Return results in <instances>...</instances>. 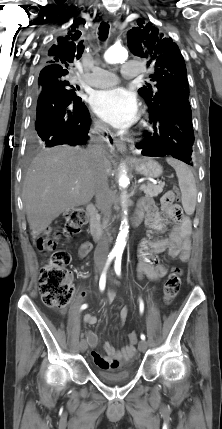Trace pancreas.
<instances>
[{
  "mask_svg": "<svg viewBox=\"0 0 222 429\" xmlns=\"http://www.w3.org/2000/svg\"><path fill=\"white\" fill-rule=\"evenodd\" d=\"M163 187H164L163 184L154 185V184L148 183L146 185V188L143 190H144V193L146 194V196L156 197V196H158V194H160L163 191Z\"/></svg>",
  "mask_w": 222,
  "mask_h": 429,
  "instance_id": "cf45deb5",
  "label": "pancreas"
}]
</instances>
